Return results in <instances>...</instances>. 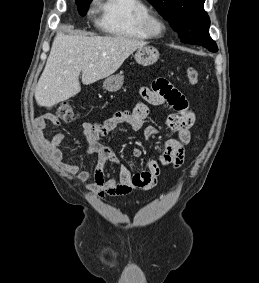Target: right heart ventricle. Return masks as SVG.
<instances>
[{
    "mask_svg": "<svg viewBox=\"0 0 259 283\" xmlns=\"http://www.w3.org/2000/svg\"><path fill=\"white\" fill-rule=\"evenodd\" d=\"M149 7L143 0H105L101 6L99 25L112 36L124 39H150L144 28Z\"/></svg>",
    "mask_w": 259,
    "mask_h": 283,
    "instance_id": "1",
    "label": "right heart ventricle"
}]
</instances>
